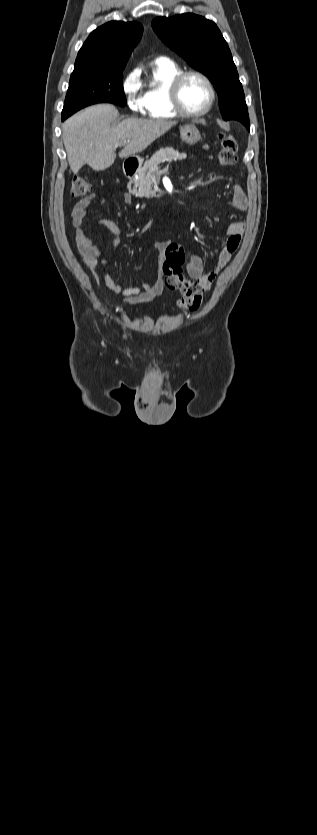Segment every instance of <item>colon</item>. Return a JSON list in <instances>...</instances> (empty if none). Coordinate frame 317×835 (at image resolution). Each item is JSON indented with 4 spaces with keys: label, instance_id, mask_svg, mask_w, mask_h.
I'll list each match as a JSON object with an SVG mask.
<instances>
[{
    "label": "colon",
    "instance_id": "1",
    "mask_svg": "<svg viewBox=\"0 0 317 835\" xmlns=\"http://www.w3.org/2000/svg\"><path fill=\"white\" fill-rule=\"evenodd\" d=\"M221 150L219 160L224 165H233L237 160V142L233 135L228 133L220 134ZM91 184L83 178L74 179L71 187V194L80 197L90 194ZM163 275V283L168 290L178 291L182 297L177 301V306L182 310H195L202 301L203 288L193 279L185 277L180 260L167 258L160 266Z\"/></svg>",
    "mask_w": 317,
    "mask_h": 835
}]
</instances>
